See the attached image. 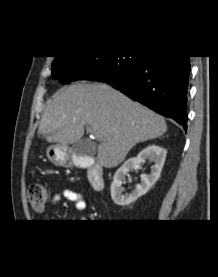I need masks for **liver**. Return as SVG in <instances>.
<instances>
[{"mask_svg":"<svg viewBox=\"0 0 218 277\" xmlns=\"http://www.w3.org/2000/svg\"><path fill=\"white\" fill-rule=\"evenodd\" d=\"M91 128L100 140L97 158L106 168L119 165L139 142L167 131L165 119L103 83L73 84L48 101L38 134L61 146L75 144Z\"/></svg>","mask_w":218,"mask_h":277,"instance_id":"liver-1","label":"liver"}]
</instances>
